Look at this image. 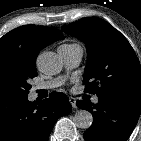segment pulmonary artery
I'll return each instance as SVG.
<instances>
[{"label":"pulmonary artery","mask_w":141,"mask_h":141,"mask_svg":"<svg viewBox=\"0 0 141 141\" xmlns=\"http://www.w3.org/2000/svg\"><path fill=\"white\" fill-rule=\"evenodd\" d=\"M58 53L60 57L63 59L67 68H74L78 66L82 59L83 49L78 44H65L61 45L58 48ZM64 80L65 79L63 76H59L39 84L36 87V89L51 90L62 85ZM92 101L93 103H97L98 97L97 96L93 97Z\"/></svg>","instance_id":"1"}]
</instances>
